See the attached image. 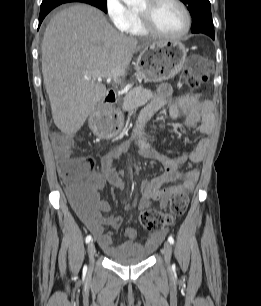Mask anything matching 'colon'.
I'll return each mask as SVG.
<instances>
[{"label": "colon", "instance_id": "5ec220e1", "mask_svg": "<svg viewBox=\"0 0 261 306\" xmlns=\"http://www.w3.org/2000/svg\"><path fill=\"white\" fill-rule=\"evenodd\" d=\"M211 71L210 62L200 56H191L185 65L184 73L190 88L196 89L203 84ZM94 123L102 129L106 137L114 136L118 132L117 119L113 114L103 113L95 117ZM69 140L58 143V149L63 158H68ZM60 175L68 186L70 197L75 205H82L92 196L93 191L88 184L89 168L83 159H68L60 168ZM189 203L185 193H176L170 201L168 212L145 210L140 214V223L147 230H161L174 223L182 216Z\"/></svg>", "mask_w": 261, "mask_h": 306}]
</instances>
